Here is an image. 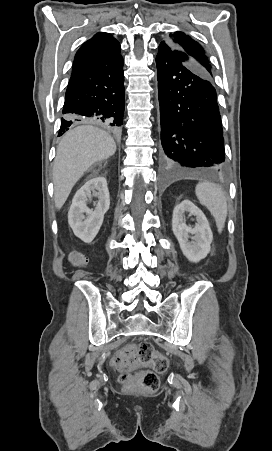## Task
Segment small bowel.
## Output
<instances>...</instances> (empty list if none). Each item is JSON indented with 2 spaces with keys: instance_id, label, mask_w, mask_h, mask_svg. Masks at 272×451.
<instances>
[{
  "instance_id": "obj_1",
  "label": "small bowel",
  "mask_w": 272,
  "mask_h": 451,
  "mask_svg": "<svg viewBox=\"0 0 272 451\" xmlns=\"http://www.w3.org/2000/svg\"><path fill=\"white\" fill-rule=\"evenodd\" d=\"M135 345H136L135 343L131 342V343H128V344L124 345L122 348H133ZM116 356H119L118 352H117Z\"/></svg>"
}]
</instances>
